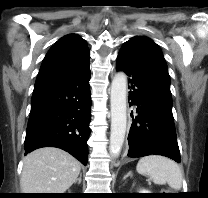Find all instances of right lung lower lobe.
Here are the masks:
<instances>
[{
	"instance_id": "right-lung-lower-lobe-1",
	"label": "right lung lower lobe",
	"mask_w": 208,
	"mask_h": 198,
	"mask_svg": "<svg viewBox=\"0 0 208 198\" xmlns=\"http://www.w3.org/2000/svg\"><path fill=\"white\" fill-rule=\"evenodd\" d=\"M89 80L90 67L66 82L33 92L25 154L41 147H57L86 165L91 119Z\"/></svg>"
}]
</instances>
